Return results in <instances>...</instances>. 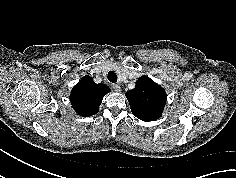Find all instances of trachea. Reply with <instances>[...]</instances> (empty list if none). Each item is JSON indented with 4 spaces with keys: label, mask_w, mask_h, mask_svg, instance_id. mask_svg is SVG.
<instances>
[{
    "label": "trachea",
    "mask_w": 236,
    "mask_h": 178,
    "mask_svg": "<svg viewBox=\"0 0 236 178\" xmlns=\"http://www.w3.org/2000/svg\"><path fill=\"white\" fill-rule=\"evenodd\" d=\"M108 80L112 83H115L117 81V76L116 73H114L113 71H109L108 72V76H107Z\"/></svg>",
    "instance_id": "obj_1"
}]
</instances>
